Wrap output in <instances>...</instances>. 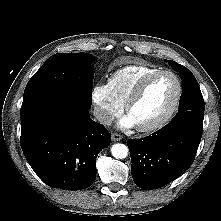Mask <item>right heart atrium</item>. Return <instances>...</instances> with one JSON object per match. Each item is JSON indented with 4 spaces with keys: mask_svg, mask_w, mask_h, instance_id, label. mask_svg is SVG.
<instances>
[{
    "mask_svg": "<svg viewBox=\"0 0 221 221\" xmlns=\"http://www.w3.org/2000/svg\"><path fill=\"white\" fill-rule=\"evenodd\" d=\"M94 115L99 123L109 124L118 116L123 106L114 98L107 84L98 83L91 89Z\"/></svg>",
    "mask_w": 221,
    "mask_h": 221,
    "instance_id": "d8ad5b80",
    "label": "right heart atrium"
}]
</instances>
